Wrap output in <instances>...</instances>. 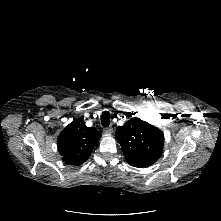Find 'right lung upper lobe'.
I'll return each instance as SVG.
<instances>
[{"label":"right lung upper lobe","mask_w":221,"mask_h":221,"mask_svg":"<svg viewBox=\"0 0 221 221\" xmlns=\"http://www.w3.org/2000/svg\"><path fill=\"white\" fill-rule=\"evenodd\" d=\"M101 137L94 127H87L81 119H74L60 133L57 146L62 159L67 164L79 165L91 155Z\"/></svg>","instance_id":"right-lung-upper-lobe-1"}]
</instances>
